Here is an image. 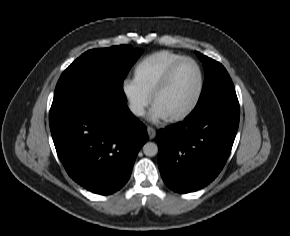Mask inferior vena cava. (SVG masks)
<instances>
[{
  "instance_id": "602c4592",
  "label": "inferior vena cava",
  "mask_w": 290,
  "mask_h": 236,
  "mask_svg": "<svg viewBox=\"0 0 290 236\" xmlns=\"http://www.w3.org/2000/svg\"><path fill=\"white\" fill-rule=\"evenodd\" d=\"M134 112L138 115H141L143 113V110L142 109H134Z\"/></svg>"
}]
</instances>
